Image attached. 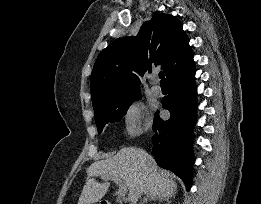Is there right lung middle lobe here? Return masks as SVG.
Wrapping results in <instances>:
<instances>
[{
	"mask_svg": "<svg viewBox=\"0 0 261 204\" xmlns=\"http://www.w3.org/2000/svg\"><path fill=\"white\" fill-rule=\"evenodd\" d=\"M140 98V91L127 93L107 104H100L94 106V117L97 125L98 132L101 133L103 127L108 122H117L126 114L127 109L134 100Z\"/></svg>",
	"mask_w": 261,
	"mask_h": 204,
	"instance_id": "right-lung-middle-lobe-1",
	"label": "right lung middle lobe"
}]
</instances>
